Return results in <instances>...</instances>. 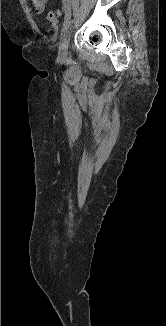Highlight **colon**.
I'll list each match as a JSON object with an SVG mask.
<instances>
[{
    "mask_svg": "<svg viewBox=\"0 0 166 326\" xmlns=\"http://www.w3.org/2000/svg\"><path fill=\"white\" fill-rule=\"evenodd\" d=\"M58 17V13L54 11H50L47 15V18L50 22L56 23Z\"/></svg>",
    "mask_w": 166,
    "mask_h": 326,
    "instance_id": "1",
    "label": "colon"
}]
</instances>
